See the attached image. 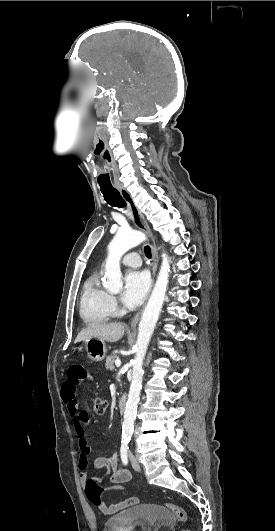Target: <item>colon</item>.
<instances>
[{
  "label": "colon",
  "mask_w": 275,
  "mask_h": 531,
  "mask_svg": "<svg viewBox=\"0 0 275 531\" xmlns=\"http://www.w3.org/2000/svg\"><path fill=\"white\" fill-rule=\"evenodd\" d=\"M92 404L94 412L97 415H101L106 412L107 405L105 400L101 398H94ZM119 489H122V486L113 483H88L85 486L84 494L88 497L89 501L93 502V507L95 509H100L102 507V502L99 500V495L101 492H107L109 490L118 491ZM166 507L172 513L175 519L181 522H186L188 520L187 512L182 507L173 504H167Z\"/></svg>",
  "instance_id": "colon-1"
}]
</instances>
